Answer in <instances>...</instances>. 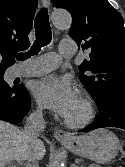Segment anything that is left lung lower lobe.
<instances>
[{
	"instance_id": "left-lung-lower-lobe-1",
	"label": "left lung lower lobe",
	"mask_w": 125,
	"mask_h": 167,
	"mask_svg": "<svg viewBox=\"0 0 125 167\" xmlns=\"http://www.w3.org/2000/svg\"><path fill=\"white\" fill-rule=\"evenodd\" d=\"M98 108L100 113L94 122L89 127L79 130V132H89L103 127L125 129V96H110Z\"/></svg>"
}]
</instances>
